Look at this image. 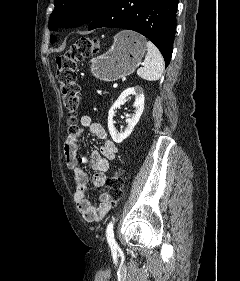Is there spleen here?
I'll return each mask as SVG.
<instances>
[{
    "label": "spleen",
    "mask_w": 240,
    "mask_h": 281,
    "mask_svg": "<svg viewBox=\"0 0 240 281\" xmlns=\"http://www.w3.org/2000/svg\"><path fill=\"white\" fill-rule=\"evenodd\" d=\"M147 54L144 59V67L137 70V74L147 81L158 80L164 70V59L158 48L151 42H146Z\"/></svg>",
    "instance_id": "spleen-1"
}]
</instances>
